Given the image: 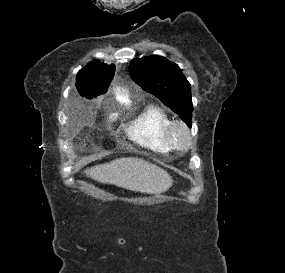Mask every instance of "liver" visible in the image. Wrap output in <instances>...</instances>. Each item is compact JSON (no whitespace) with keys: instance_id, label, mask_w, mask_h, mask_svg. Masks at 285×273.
Listing matches in <instances>:
<instances>
[{"instance_id":"6515ba94","label":"liver","mask_w":285,"mask_h":273,"mask_svg":"<svg viewBox=\"0 0 285 273\" xmlns=\"http://www.w3.org/2000/svg\"><path fill=\"white\" fill-rule=\"evenodd\" d=\"M103 184H113L135 192L159 194L172 186L171 176L145 160L127 157L96 165L83 171Z\"/></svg>"}]
</instances>
